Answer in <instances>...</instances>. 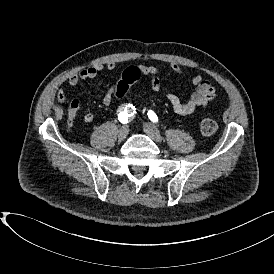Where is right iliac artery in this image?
Wrapping results in <instances>:
<instances>
[{
    "instance_id": "obj_1",
    "label": "right iliac artery",
    "mask_w": 274,
    "mask_h": 274,
    "mask_svg": "<svg viewBox=\"0 0 274 274\" xmlns=\"http://www.w3.org/2000/svg\"><path fill=\"white\" fill-rule=\"evenodd\" d=\"M134 114H135V108L133 106L127 108H125L124 111H121L118 115V119L122 124H126L128 123L130 120H132L134 118Z\"/></svg>"
}]
</instances>
